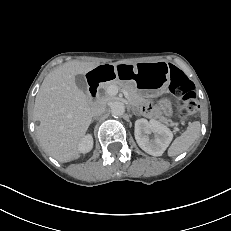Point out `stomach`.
I'll list each match as a JSON object with an SVG mask.
<instances>
[{"mask_svg": "<svg viewBox=\"0 0 231 231\" xmlns=\"http://www.w3.org/2000/svg\"><path fill=\"white\" fill-rule=\"evenodd\" d=\"M126 66L131 72V82L142 96H159L165 93L170 84V67L166 62H139L136 64H118ZM159 108L165 117L172 115V105L167 99L159 102Z\"/></svg>", "mask_w": 231, "mask_h": 231, "instance_id": "stomach-1", "label": "stomach"}]
</instances>
